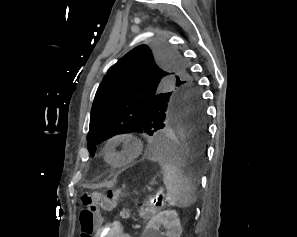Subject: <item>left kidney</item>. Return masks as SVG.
I'll return each instance as SVG.
<instances>
[{
	"instance_id": "left-kidney-1",
	"label": "left kidney",
	"mask_w": 297,
	"mask_h": 237,
	"mask_svg": "<svg viewBox=\"0 0 297 237\" xmlns=\"http://www.w3.org/2000/svg\"><path fill=\"white\" fill-rule=\"evenodd\" d=\"M161 226L167 230L165 234L159 230ZM181 234L182 227L176 210H164L151 218L142 237H180Z\"/></svg>"
}]
</instances>
